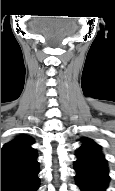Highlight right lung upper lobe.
<instances>
[{
  "instance_id": "obj_1",
  "label": "right lung upper lobe",
  "mask_w": 115,
  "mask_h": 191,
  "mask_svg": "<svg viewBox=\"0 0 115 191\" xmlns=\"http://www.w3.org/2000/svg\"><path fill=\"white\" fill-rule=\"evenodd\" d=\"M34 143L29 136H19L1 149V176L29 173L39 168Z\"/></svg>"
}]
</instances>
